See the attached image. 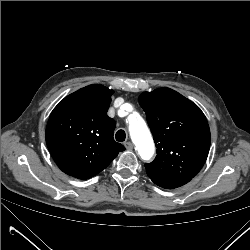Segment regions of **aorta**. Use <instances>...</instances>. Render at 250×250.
<instances>
[{
  "instance_id": "762f6f07",
  "label": "aorta",
  "mask_w": 250,
  "mask_h": 250,
  "mask_svg": "<svg viewBox=\"0 0 250 250\" xmlns=\"http://www.w3.org/2000/svg\"><path fill=\"white\" fill-rule=\"evenodd\" d=\"M129 131L141 158L149 160L154 153V142L145 123L132 122Z\"/></svg>"
}]
</instances>
